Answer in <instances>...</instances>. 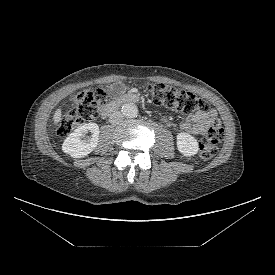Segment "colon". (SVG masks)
<instances>
[{"label": "colon", "mask_w": 275, "mask_h": 275, "mask_svg": "<svg viewBox=\"0 0 275 275\" xmlns=\"http://www.w3.org/2000/svg\"><path fill=\"white\" fill-rule=\"evenodd\" d=\"M153 103L167 108L176 109L185 114L208 110V104L198 95L179 90L163 83H152L147 87ZM107 95L103 89L84 90L73 96V109L64 112L57 128L59 136H66L86 122L96 119L101 113ZM224 136L223 127L214 120L199 142L198 155L204 160L213 158L218 150V144Z\"/></svg>", "instance_id": "obj_1"}]
</instances>
